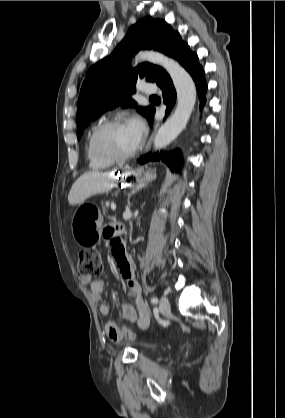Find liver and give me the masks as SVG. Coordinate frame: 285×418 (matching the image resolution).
I'll return each instance as SVG.
<instances>
[{"label": "liver", "instance_id": "1", "mask_svg": "<svg viewBox=\"0 0 285 418\" xmlns=\"http://www.w3.org/2000/svg\"><path fill=\"white\" fill-rule=\"evenodd\" d=\"M115 181L114 172H86L72 185L68 194V202L70 205L81 204L88 197L113 188Z\"/></svg>", "mask_w": 285, "mask_h": 418}]
</instances>
